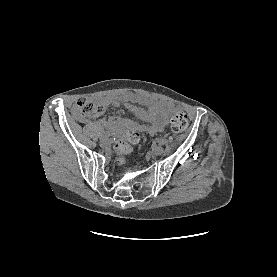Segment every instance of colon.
I'll return each mask as SVG.
<instances>
[{"instance_id":"1","label":"colon","mask_w":277,"mask_h":277,"mask_svg":"<svg viewBox=\"0 0 277 277\" xmlns=\"http://www.w3.org/2000/svg\"><path fill=\"white\" fill-rule=\"evenodd\" d=\"M74 115L81 120L99 117L104 113V107L95 105L86 99H79L73 106ZM189 125V117L183 112H177L171 119V130L174 133L184 132ZM140 136L138 132L132 130L118 140L115 144V149L121 161L130 155L134 146L139 142Z\"/></svg>"}]
</instances>
